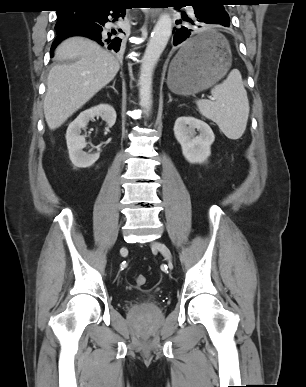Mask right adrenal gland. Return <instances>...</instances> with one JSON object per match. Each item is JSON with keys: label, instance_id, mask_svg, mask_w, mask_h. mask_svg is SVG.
Here are the masks:
<instances>
[{"label": "right adrenal gland", "instance_id": "1", "mask_svg": "<svg viewBox=\"0 0 306 387\" xmlns=\"http://www.w3.org/2000/svg\"><path fill=\"white\" fill-rule=\"evenodd\" d=\"M110 88H112L116 93H118L117 90L115 89V81H113V85L110 86Z\"/></svg>", "mask_w": 306, "mask_h": 387}]
</instances>
